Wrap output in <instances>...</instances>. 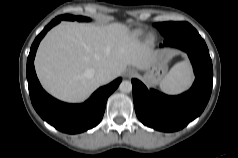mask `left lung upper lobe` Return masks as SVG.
Segmentation results:
<instances>
[{
  "label": "left lung upper lobe",
  "instance_id": "obj_1",
  "mask_svg": "<svg viewBox=\"0 0 238 158\" xmlns=\"http://www.w3.org/2000/svg\"><path fill=\"white\" fill-rule=\"evenodd\" d=\"M154 26L158 28L164 37H168L178 31L190 27L191 25L187 22H163L155 23Z\"/></svg>",
  "mask_w": 238,
  "mask_h": 158
}]
</instances>
